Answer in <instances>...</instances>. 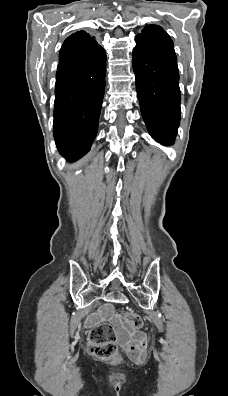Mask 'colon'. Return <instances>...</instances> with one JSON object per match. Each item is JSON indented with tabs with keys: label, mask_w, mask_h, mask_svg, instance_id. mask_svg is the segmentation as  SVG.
Returning <instances> with one entry per match:
<instances>
[{
	"label": "colon",
	"mask_w": 228,
	"mask_h": 396,
	"mask_svg": "<svg viewBox=\"0 0 228 396\" xmlns=\"http://www.w3.org/2000/svg\"><path fill=\"white\" fill-rule=\"evenodd\" d=\"M123 324L131 329L138 330L143 321L140 316L133 312H125L122 315ZM89 352L99 359H110L117 353V337L113 326L102 323L95 326L89 334Z\"/></svg>",
	"instance_id": "colon-1"
}]
</instances>
